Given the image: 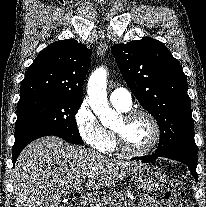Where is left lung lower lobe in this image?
Listing matches in <instances>:
<instances>
[{
	"label": "left lung lower lobe",
	"mask_w": 206,
	"mask_h": 207,
	"mask_svg": "<svg viewBox=\"0 0 206 207\" xmlns=\"http://www.w3.org/2000/svg\"><path fill=\"white\" fill-rule=\"evenodd\" d=\"M158 157H166V158H170L173 160H177L180 162L185 163L192 175L194 176L196 182L198 181V175L196 172V167H197V155H192V154H186V153H162V154H154V155H149V156H144L142 157V162L144 163H148V162H153L155 159H157Z\"/></svg>",
	"instance_id": "1"
}]
</instances>
